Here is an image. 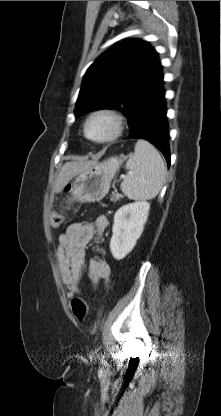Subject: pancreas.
I'll list each match as a JSON object with an SVG mask.
<instances>
[{
    "label": "pancreas",
    "mask_w": 221,
    "mask_h": 416,
    "mask_svg": "<svg viewBox=\"0 0 221 416\" xmlns=\"http://www.w3.org/2000/svg\"><path fill=\"white\" fill-rule=\"evenodd\" d=\"M122 197H123V196H122L121 194L116 193V194H113V195H112V197H111V199H110V200H111L112 202H114V203H115V202L119 201Z\"/></svg>",
    "instance_id": "pancreas-1"
}]
</instances>
